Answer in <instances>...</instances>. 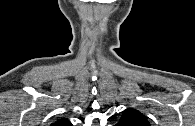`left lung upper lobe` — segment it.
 <instances>
[{
  "label": "left lung upper lobe",
  "mask_w": 195,
  "mask_h": 126,
  "mask_svg": "<svg viewBox=\"0 0 195 126\" xmlns=\"http://www.w3.org/2000/svg\"><path fill=\"white\" fill-rule=\"evenodd\" d=\"M118 124L120 126H150L146 116L133 108H127L123 111Z\"/></svg>",
  "instance_id": "obj_1"
}]
</instances>
